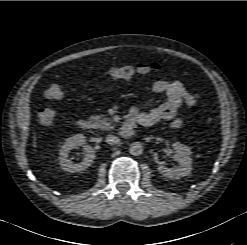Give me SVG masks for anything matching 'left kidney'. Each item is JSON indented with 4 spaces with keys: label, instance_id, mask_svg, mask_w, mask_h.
<instances>
[{
    "label": "left kidney",
    "instance_id": "1",
    "mask_svg": "<svg viewBox=\"0 0 247 245\" xmlns=\"http://www.w3.org/2000/svg\"><path fill=\"white\" fill-rule=\"evenodd\" d=\"M172 146L176 152L174 160L179 163V166L167 168L163 164H159L158 171L169 179H179L189 175L192 171V152L188 146L183 145L180 142H174Z\"/></svg>",
    "mask_w": 247,
    "mask_h": 245
}]
</instances>
